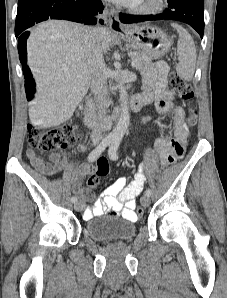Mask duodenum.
Masks as SVG:
<instances>
[{"mask_svg": "<svg viewBox=\"0 0 227 298\" xmlns=\"http://www.w3.org/2000/svg\"><path fill=\"white\" fill-rule=\"evenodd\" d=\"M143 106H145V101L140 95H137L129 101L127 108L132 111H139ZM122 111H123V108L116 109L113 112L110 119L117 118L122 113ZM84 121L86 125L90 128H94L98 126V119H97L95 107L92 101H88L86 104ZM109 124H110V120H108L104 124V127H108Z\"/></svg>", "mask_w": 227, "mask_h": 298, "instance_id": "410a0bca", "label": "duodenum"}]
</instances>
